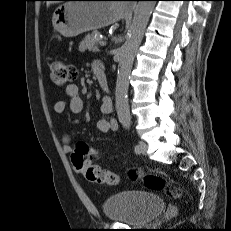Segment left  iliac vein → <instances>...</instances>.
<instances>
[{
    "instance_id": "1",
    "label": "left iliac vein",
    "mask_w": 231,
    "mask_h": 231,
    "mask_svg": "<svg viewBox=\"0 0 231 231\" xmlns=\"http://www.w3.org/2000/svg\"><path fill=\"white\" fill-rule=\"evenodd\" d=\"M138 146H139L138 153H142L143 155H146L148 149L147 144L144 141H140Z\"/></svg>"
}]
</instances>
